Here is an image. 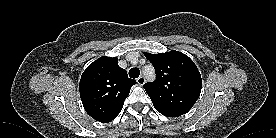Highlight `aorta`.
Listing matches in <instances>:
<instances>
[{"label":"aorta","mask_w":276,"mask_h":138,"mask_svg":"<svg viewBox=\"0 0 276 138\" xmlns=\"http://www.w3.org/2000/svg\"><path fill=\"white\" fill-rule=\"evenodd\" d=\"M153 74H154L153 69H151L150 72H149L147 75H148L149 77H153Z\"/></svg>","instance_id":"762f6f07"}]
</instances>
